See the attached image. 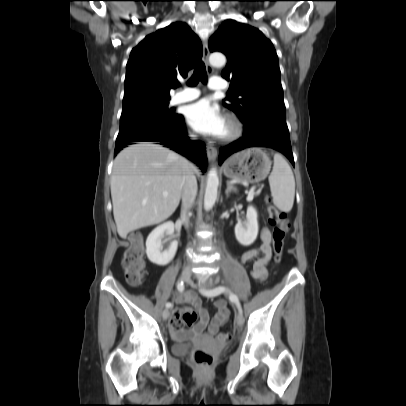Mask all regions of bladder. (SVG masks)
Here are the masks:
<instances>
[{"mask_svg": "<svg viewBox=\"0 0 406 406\" xmlns=\"http://www.w3.org/2000/svg\"><path fill=\"white\" fill-rule=\"evenodd\" d=\"M172 351L175 355H186L188 353V345L186 343H176L173 345Z\"/></svg>", "mask_w": 406, "mask_h": 406, "instance_id": "bladder-1", "label": "bladder"}]
</instances>
